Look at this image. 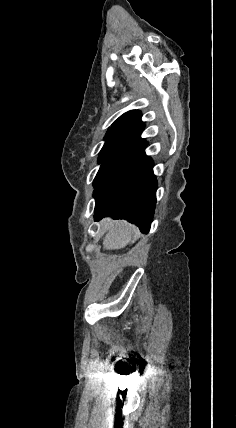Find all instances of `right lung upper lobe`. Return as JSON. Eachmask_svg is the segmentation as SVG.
Listing matches in <instances>:
<instances>
[{"label": "right lung upper lobe", "mask_w": 236, "mask_h": 428, "mask_svg": "<svg viewBox=\"0 0 236 428\" xmlns=\"http://www.w3.org/2000/svg\"><path fill=\"white\" fill-rule=\"evenodd\" d=\"M142 114L137 110L129 111L120 116L107 131L105 144L101 151L113 150L133 144L145 143L140 134L144 129Z\"/></svg>", "instance_id": "obj_1"}]
</instances>
